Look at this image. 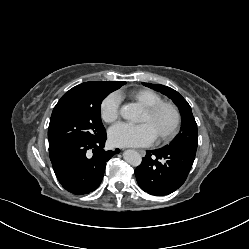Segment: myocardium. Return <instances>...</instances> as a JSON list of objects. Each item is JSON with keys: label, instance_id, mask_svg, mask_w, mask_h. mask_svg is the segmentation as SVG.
<instances>
[{"label": "myocardium", "instance_id": "f54148a6", "mask_svg": "<svg viewBox=\"0 0 249 249\" xmlns=\"http://www.w3.org/2000/svg\"><path fill=\"white\" fill-rule=\"evenodd\" d=\"M167 109L172 113L173 121L167 131L157 136V139L161 142L171 140L178 132L181 125V113L179 108L172 102L161 101L156 104L146 106L144 110L150 115L155 116L161 110Z\"/></svg>", "mask_w": 249, "mask_h": 249}]
</instances>
